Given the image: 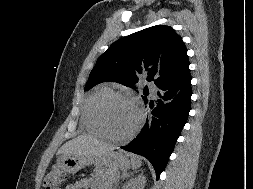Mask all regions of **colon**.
Listing matches in <instances>:
<instances>
[{
  "label": "colon",
  "mask_w": 253,
  "mask_h": 189,
  "mask_svg": "<svg viewBox=\"0 0 253 189\" xmlns=\"http://www.w3.org/2000/svg\"><path fill=\"white\" fill-rule=\"evenodd\" d=\"M65 179L64 173L57 167H53L46 175L44 185L46 189H59Z\"/></svg>",
  "instance_id": "5ec220e1"
}]
</instances>
